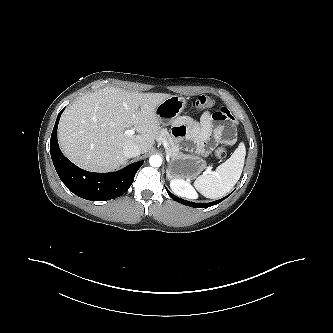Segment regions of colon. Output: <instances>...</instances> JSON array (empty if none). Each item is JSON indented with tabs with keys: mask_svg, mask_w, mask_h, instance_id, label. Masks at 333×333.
<instances>
[{
	"mask_svg": "<svg viewBox=\"0 0 333 333\" xmlns=\"http://www.w3.org/2000/svg\"><path fill=\"white\" fill-rule=\"evenodd\" d=\"M192 106L196 109L212 108L214 106V100L209 96L199 95L193 100ZM226 155H227V144L220 146L215 151V156L218 159H224Z\"/></svg>",
	"mask_w": 333,
	"mask_h": 333,
	"instance_id": "obj_1",
	"label": "colon"
}]
</instances>
